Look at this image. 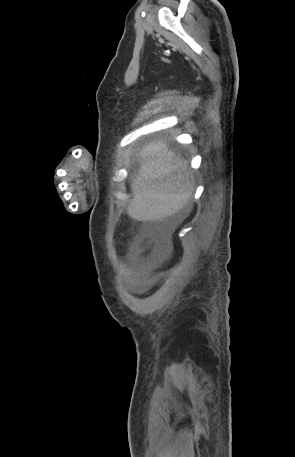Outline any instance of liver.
I'll list each match as a JSON object with an SVG mask.
<instances>
[{
  "mask_svg": "<svg viewBox=\"0 0 295 457\" xmlns=\"http://www.w3.org/2000/svg\"><path fill=\"white\" fill-rule=\"evenodd\" d=\"M138 175L131 182L128 215L138 221L163 220L191 200L194 176L188 163L169 149L166 141H153L139 153Z\"/></svg>",
  "mask_w": 295,
  "mask_h": 457,
  "instance_id": "6515ba94",
  "label": "liver"
}]
</instances>
